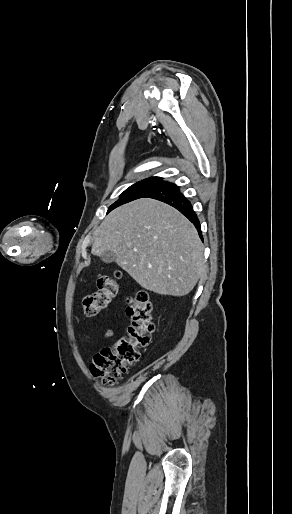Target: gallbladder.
<instances>
[{
	"instance_id": "obj_1",
	"label": "gallbladder",
	"mask_w": 292,
	"mask_h": 514,
	"mask_svg": "<svg viewBox=\"0 0 292 514\" xmlns=\"http://www.w3.org/2000/svg\"><path fill=\"white\" fill-rule=\"evenodd\" d=\"M102 262H106V264H110V262H114V254L111 250H104L100 256Z\"/></svg>"
}]
</instances>
